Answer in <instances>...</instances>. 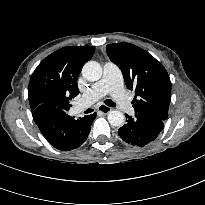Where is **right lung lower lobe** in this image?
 <instances>
[{
	"mask_svg": "<svg viewBox=\"0 0 205 205\" xmlns=\"http://www.w3.org/2000/svg\"><path fill=\"white\" fill-rule=\"evenodd\" d=\"M65 109L49 102L38 106L32 116L47 141L63 151L75 149L88 137L96 113L78 120L66 114Z\"/></svg>",
	"mask_w": 205,
	"mask_h": 205,
	"instance_id": "98d812e1",
	"label": "right lung lower lobe"
}]
</instances>
